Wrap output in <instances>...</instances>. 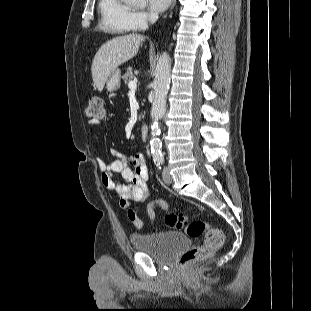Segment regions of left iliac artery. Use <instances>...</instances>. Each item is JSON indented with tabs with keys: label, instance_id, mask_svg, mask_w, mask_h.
<instances>
[{
	"label": "left iliac artery",
	"instance_id": "1",
	"mask_svg": "<svg viewBox=\"0 0 311 311\" xmlns=\"http://www.w3.org/2000/svg\"><path fill=\"white\" fill-rule=\"evenodd\" d=\"M157 162H160L161 164H163L164 159H163V158H158V159H157Z\"/></svg>",
	"mask_w": 311,
	"mask_h": 311
}]
</instances>
